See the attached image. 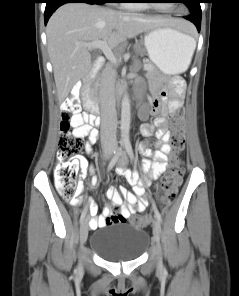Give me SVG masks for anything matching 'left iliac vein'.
I'll use <instances>...</instances> for the list:
<instances>
[{
    "label": "left iliac vein",
    "instance_id": "1",
    "mask_svg": "<svg viewBox=\"0 0 239 296\" xmlns=\"http://www.w3.org/2000/svg\"><path fill=\"white\" fill-rule=\"evenodd\" d=\"M127 163V157L125 154H122L121 158L119 159V164L124 165ZM160 235H161V225L160 222L155 219L153 222V241L156 244L157 249L159 250L160 247ZM162 266L161 260L158 261V267Z\"/></svg>",
    "mask_w": 239,
    "mask_h": 296
}]
</instances>
